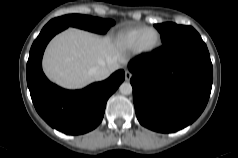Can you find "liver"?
I'll return each mask as SVG.
<instances>
[{
    "instance_id": "6515ba94",
    "label": "liver",
    "mask_w": 238,
    "mask_h": 158,
    "mask_svg": "<svg viewBox=\"0 0 238 158\" xmlns=\"http://www.w3.org/2000/svg\"><path fill=\"white\" fill-rule=\"evenodd\" d=\"M123 62L120 46L109 36L70 28L50 42L43 67L53 82L66 88H81L94 80L89 74L92 67L105 66L112 73Z\"/></svg>"
}]
</instances>
